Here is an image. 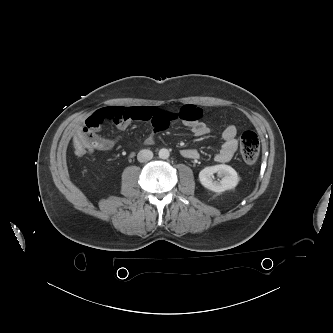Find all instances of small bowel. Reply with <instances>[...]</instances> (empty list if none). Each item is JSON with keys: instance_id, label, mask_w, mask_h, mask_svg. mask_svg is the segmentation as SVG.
I'll list each match as a JSON object with an SVG mask.
<instances>
[{"instance_id": "1", "label": "small bowel", "mask_w": 333, "mask_h": 333, "mask_svg": "<svg viewBox=\"0 0 333 333\" xmlns=\"http://www.w3.org/2000/svg\"><path fill=\"white\" fill-rule=\"evenodd\" d=\"M202 111L194 105H185L177 112H170L158 107H121L110 106L100 109L89 116L78 129L76 137L84 141L86 150L108 152L111 151L118 141V137L108 139L98 132L105 120H111L120 130H125L132 121H149L153 125V133L147 137L146 143L152 144L156 135L166 130L174 121L180 120L195 136L202 137L209 133V128L201 120ZM237 128L230 125L222 134L223 144L215 155L219 163L229 162L238 151ZM182 156L189 159L197 158L198 152L194 148H185L181 151Z\"/></svg>"}]
</instances>
